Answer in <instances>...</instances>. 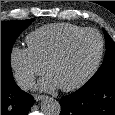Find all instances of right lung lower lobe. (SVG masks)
I'll use <instances>...</instances> for the list:
<instances>
[{"instance_id": "obj_1", "label": "right lung lower lobe", "mask_w": 115, "mask_h": 115, "mask_svg": "<svg viewBox=\"0 0 115 115\" xmlns=\"http://www.w3.org/2000/svg\"><path fill=\"white\" fill-rule=\"evenodd\" d=\"M34 98L22 91L12 76L1 77V115H27Z\"/></svg>"}]
</instances>
